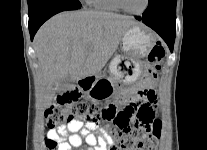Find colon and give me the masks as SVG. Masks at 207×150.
<instances>
[{
    "label": "colon",
    "instance_id": "5ec220e1",
    "mask_svg": "<svg viewBox=\"0 0 207 150\" xmlns=\"http://www.w3.org/2000/svg\"><path fill=\"white\" fill-rule=\"evenodd\" d=\"M164 57L165 49L157 43L147 56L150 64L147 81H156ZM156 96L157 86L141 87L135 99H129L123 108L114 103L101 106L65 97L55 100V105L45 112V127L52 129L74 117H83L90 128L111 124L116 140L109 150H157L162 124L155 119L158 116ZM45 147L46 150H59V143L47 138Z\"/></svg>",
    "mask_w": 207,
    "mask_h": 150
}]
</instances>
